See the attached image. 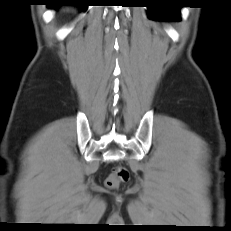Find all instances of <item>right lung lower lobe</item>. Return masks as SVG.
<instances>
[{
	"instance_id": "right-lung-lower-lobe-1",
	"label": "right lung lower lobe",
	"mask_w": 231,
	"mask_h": 231,
	"mask_svg": "<svg viewBox=\"0 0 231 231\" xmlns=\"http://www.w3.org/2000/svg\"><path fill=\"white\" fill-rule=\"evenodd\" d=\"M48 6L52 8L58 6H78L82 10H86L88 7L86 0H50Z\"/></svg>"
}]
</instances>
